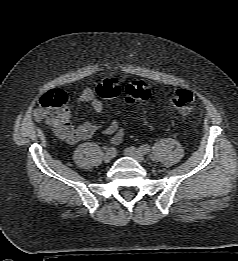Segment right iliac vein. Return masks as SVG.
Returning <instances> with one entry per match:
<instances>
[{"label":"right iliac vein","mask_w":238,"mask_h":261,"mask_svg":"<svg viewBox=\"0 0 238 261\" xmlns=\"http://www.w3.org/2000/svg\"><path fill=\"white\" fill-rule=\"evenodd\" d=\"M115 155L116 154H112V153H107V151H106V153L104 154V156H103V160H104V162H106V163H108V162H110L114 157H115Z\"/></svg>","instance_id":"obj_1"}]
</instances>
